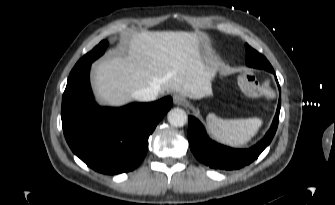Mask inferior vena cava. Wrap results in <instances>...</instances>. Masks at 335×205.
<instances>
[{"mask_svg": "<svg viewBox=\"0 0 335 205\" xmlns=\"http://www.w3.org/2000/svg\"><path fill=\"white\" fill-rule=\"evenodd\" d=\"M133 97L139 101H153L158 97V88L147 87L133 93Z\"/></svg>", "mask_w": 335, "mask_h": 205, "instance_id": "obj_1", "label": "inferior vena cava"}]
</instances>
